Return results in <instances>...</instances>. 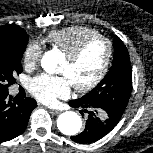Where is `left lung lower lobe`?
I'll return each mask as SVG.
<instances>
[{
  "instance_id": "obj_1",
  "label": "left lung lower lobe",
  "mask_w": 153,
  "mask_h": 153,
  "mask_svg": "<svg viewBox=\"0 0 153 153\" xmlns=\"http://www.w3.org/2000/svg\"><path fill=\"white\" fill-rule=\"evenodd\" d=\"M69 104L72 107H82L85 109L84 112L89 114L85 130L79 135L71 137L77 143L89 144L96 142L107 135L118 123V121L100 110L97 105L86 104L79 100L70 101Z\"/></svg>"
}]
</instances>
